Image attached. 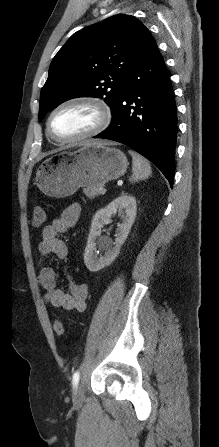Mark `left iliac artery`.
<instances>
[{
    "label": "left iliac artery",
    "instance_id": "obj_1",
    "mask_svg": "<svg viewBox=\"0 0 219 447\" xmlns=\"http://www.w3.org/2000/svg\"><path fill=\"white\" fill-rule=\"evenodd\" d=\"M79 375H80V374H79L78 371H76V372L73 374L72 384H73V387H74V388L78 385L79 377H80Z\"/></svg>",
    "mask_w": 219,
    "mask_h": 447
}]
</instances>
